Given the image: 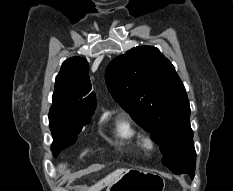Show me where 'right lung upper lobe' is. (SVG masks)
<instances>
[{
	"mask_svg": "<svg viewBox=\"0 0 233 191\" xmlns=\"http://www.w3.org/2000/svg\"><path fill=\"white\" fill-rule=\"evenodd\" d=\"M90 91L87 60L78 56L69 58L56 77L51 108L72 113L95 112L96 96Z\"/></svg>",
	"mask_w": 233,
	"mask_h": 191,
	"instance_id": "obj_1",
	"label": "right lung upper lobe"
}]
</instances>
